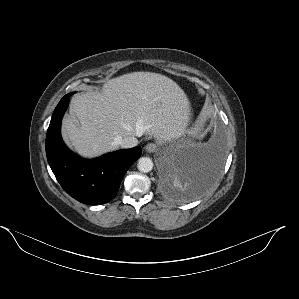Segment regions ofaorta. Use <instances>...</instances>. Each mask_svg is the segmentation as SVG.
<instances>
[{
    "mask_svg": "<svg viewBox=\"0 0 299 299\" xmlns=\"http://www.w3.org/2000/svg\"><path fill=\"white\" fill-rule=\"evenodd\" d=\"M137 168L139 171H141L143 173H148L153 169V162L148 157H141L138 160Z\"/></svg>",
    "mask_w": 299,
    "mask_h": 299,
    "instance_id": "1",
    "label": "aorta"
}]
</instances>
